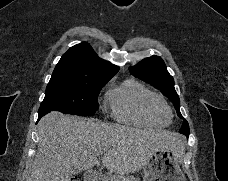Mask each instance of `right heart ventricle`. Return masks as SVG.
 Returning a JSON list of instances; mask_svg holds the SVG:
<instances>
[{"label":"right heart ventricle","instance_id":"obj_1","mask_svg":"<svg viewBox=\"0 0 228 181\" xmlns=\"http://www.w3.org/2000/svg\"><path fill=\"white\" fill-rule=\"evenodd\" d=\"M108 96L113 115L120 122L162 127L170 120L161 96L133 79L110 86Z\"/></svg>","mask_w":228,"mask_h":181}]
</instances>
